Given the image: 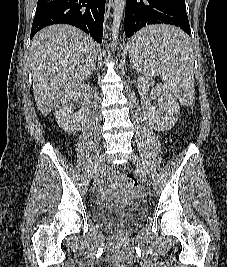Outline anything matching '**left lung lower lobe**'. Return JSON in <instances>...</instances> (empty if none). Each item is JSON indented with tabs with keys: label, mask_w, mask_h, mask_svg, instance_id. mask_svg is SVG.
<instances>
[{
	"label": "left lung lower lobe",
	"mask_w": 227,
	"mask_h": 267,
	"mask_svg": "<svg viewBox=\"0 0 227 267\" xmlns=\"http://www.w3.org/2000/svg\"><path fill=\"white\" fill-rule=\"evenodd\" d=\"M152 24L175 25L190 35L185 0H127L124 21L126 37H131L142 27ZM136 35L131 38V42L138 43ZM177 44L174 40L159 42L160 46L166 48Z\"/></svg>",
	"instance_id": "left-lung-lower-lobe-1"
}]
</instances>
